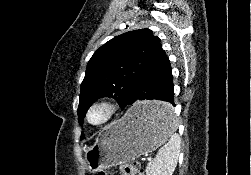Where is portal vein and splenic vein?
I'll return each instance as SVG.
<instances>
[{"label":"portal vein and splenic vein","instance_id":"1","mask_svg":"<svg viewBox=\"0 0 251 175\" xmlns=\"http://www.w3.org/2000/svg\"><path fill=\"white\" fill-rule=\"evenodd\" d=\"M145 161H146V162H151V161H152V158H151V157H146V158H145Z\"/></svg>","mask_w":251,"mask_h":175}]
</instances>
